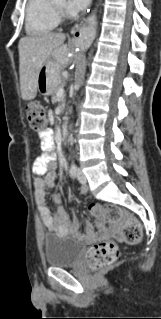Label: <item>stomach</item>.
<instances>
[{
  "label": "stomach",
  "instance_id": "stomach-1",
  "mask_svg": "<svg viewBox=\"0 0 161 319\" xmlns=\"http://www.w3.org/2000/svg\"><path fill=\"white\" fill-rule=\"evenodd\" d=\"M65 47L55 49L47 59L38 74V91L43 95H50L61 81L60 69L64 65Z\"/></svg>",
  "mask_w": 161,
  "mask_h": 319
}]
</instances>
